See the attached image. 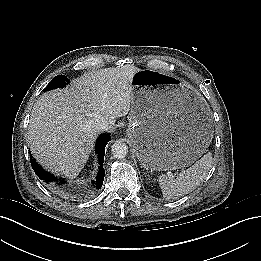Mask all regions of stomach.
Masks as SVG:
<instances>
[{"instance_id":"0dacf381","label":"stomach","mask_w":261,"mask_h":261,"mask_svg":"<svg viewBox=\"0 0 261 261\" xmlns=\"http://www.w3.org/2000/svg\"><path fill=\"white\" fill-rule=\"evenodd\" d=\"M127 135L148 170L187 167L208 148L212 133L195 110L196 93L173 76L140 70L133 78Z\"/></svg>"}]
</instances>
